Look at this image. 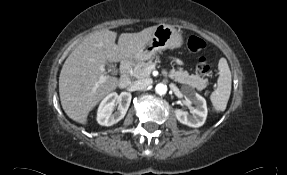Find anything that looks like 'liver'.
<instances>
[{"mask_svg": "<svg viewBox=\"0 0 287 175\" xmlns=\"http://www.w3.org/2000/svg\"><path fill=\"white\" fill-rule=\"evenodd\" d=\"M156 26L138 33L109 30L89 34L65 60L59 76V95L65 113L86 124L89 112L110 92L119 80L107 74V62L132 59L151 39Z\"/></svg>", "mask_w": 287, "mask_h": 175, "instance_id": "obj_1", "label": "liver"}]
</instances>
